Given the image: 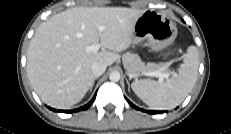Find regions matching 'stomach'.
<instances>
[{"instance_id":"0dacf381","label":"stomach","mask_w":231,"mask_h":134,"mask_svg":"<svg viewBox=\"0 0 231 134\" xmlns=\"http://www.w3.org/2000/svg\"><path fill=\"white\" fill-rule=\"evenodd\" d=\"M175 24L159 12L146 10L135 21L132 31V43L146 41L152 51H160L176 39Z\"/></svg>"}]
</instances>
